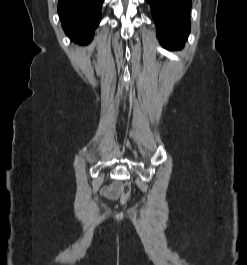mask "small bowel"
I'll return each mask as SVG.
<instances>
[{"label": "small bowel", "mask_w": 247, "mask_h": 265, "mask_svg": "<svg viewBox=\"0 0 247 265\" xmlns=\"http://www.w3.org/2000/svg\"><path fill=\"white\" fill-rule=\"evenodd\" d=\"M120 191H121L120 184L119 183H114L111 186L104 187L101 190V194L105 198H108V199H111V200H115V199H117L119 197Z\"/></svg>", "instance_id": "obj_1"}]
</instances>
